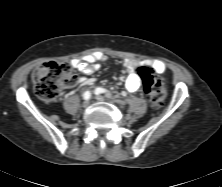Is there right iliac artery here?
Here are the masks:
<instances>
[{
	"mask_svg": "<svg viewBox=\"0 0 222 187\" xmlns=\"http://www.w3.org/2000/svg\"><path fill=\"white\" fill-rule=\"evenodd\" d=\"M90 97H91V93H90V91H86V92H84V94H83V98H84L85 100L90 99Z\"/></svg>",
	"mask_w": 222,
	"mask_h": 187,
	"instance_id": "right-iliac-artery-1",
	"label": "right iliac artery"
}]
</instances>
